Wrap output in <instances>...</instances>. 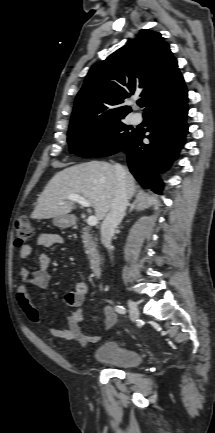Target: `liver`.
<instances>
[{
  "label": "liver",
  "instance_id": "obj_1",
  "mask_svg": "<svg viewBox=\"0 0 215 433\" xmlns=\"http://www.w3.org/2000/svg\"><path fill=\"white\" fill-rule=\"evenodd\" d=\"M118 179L114 165L105 161H89L58 172L38 198L31 217L49 219L68 215L73 205L65 202L69 195H80L90 202L99 220L110 210ZM127 197L134 195L136 186L132 174L125 171Z\"/></svg>",
  "mask_w": 215,
  "mask_h": 433
}]
</instances>
